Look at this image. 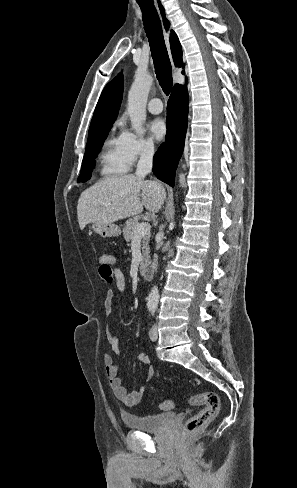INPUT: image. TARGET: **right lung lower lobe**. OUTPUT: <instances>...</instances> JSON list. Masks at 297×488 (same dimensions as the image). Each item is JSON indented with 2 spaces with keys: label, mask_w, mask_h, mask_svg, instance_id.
<instances>
[{
  "label": "right lung lower lobe",
  "mask_w": 297,
  "mask_h": 488,
  "mask_svg": "<svg viewBox=\"0 0 297 488\" xmlns=\"http://www.w3.org/2000/svg\"><path fill=\"white\" fill-rule=\"evenodd\" d=\"M188 96L184 86L175 85L167 105V135L153 159V173L174 186L175 172L184 148L187 130Z\"/></svg>",
  "instance_id": "1"
}]
</instances>
